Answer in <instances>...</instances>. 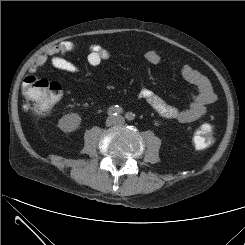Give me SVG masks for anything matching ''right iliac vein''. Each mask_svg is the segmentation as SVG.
<instances>
[{"label": "right iliac vein", "mask_w": 245, "mask_h": 245, "mask_svg": "<svg viewBox=\"0 0 245 245\" xmlns=\"http://www.w3.org/2000/svg\"><path fill=\"white\" fill-rule=\"evenodd\" d=\"M118 122V120L114 117H109L107 120H106V126H113L115 125L116 123Z\"/></svg>", "instance_id": "obj_1"}]
</instances>
